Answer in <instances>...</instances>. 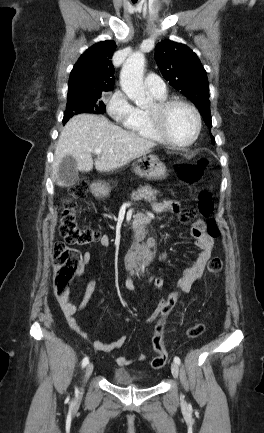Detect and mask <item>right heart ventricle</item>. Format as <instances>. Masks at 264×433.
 <instances>
[{"label": "right heart ventricle", "mask_w": 264, "mask_h": 433, "mask_svg": "<svg viewBox=\"0 0 264 433\" xmlns=\"http://www.w3.org/2000/svg\"><path fill=\"white\" fill-rule=\"evenodd\" d=\"M151 94L157 101H162L166 99V94ZM126 126L130 132L134 133L139 137L156 142H163L154 130L148 114V110L146 109L137 108L135 119Z\"/></svg>", "instance_id": "obj_1"}]
</instances>
